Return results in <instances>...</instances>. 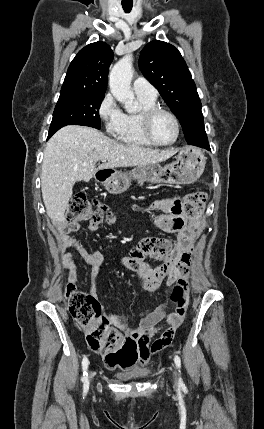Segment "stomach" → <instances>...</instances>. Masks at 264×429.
<instances>
[{
  "label": "stomach",
  "mask_w": 264,
  "mask_h": 429,
  "mask_svg": "<svg viewBox=\"0 0 264 429\" xmlns=\"http://www.w3.org/2000/svg\"><path fill=\"white\" fill-rule=\"evenodd\" d=\"M205 163L206 157L201 150L184 147L175 157V161L164 167L157 163L147 164L137 166L129 173L108 168L98 170L94 176L108 192L120 194L129 188L131 178L153 183L192 184L202 175Z\"/></svg>",
  "instance_id": "obj_1"
}]
</instances>
